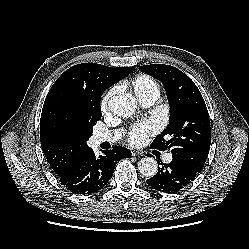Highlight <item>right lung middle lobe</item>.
I'll list each match as a JSON object with an SVG mask.
<instances>
[{
    "label": "right lung middle lobe",
    "instance_id": "dd1d6c3e",
    "mask_svg": "<svg viewBox=\"0 0 249 249\" xmlns=\"http://www.w3.org/2000/svg\"><path fill=\"white\" fill-rule=\"evenodd\" d=\"M132 70H114L120 80ZM102 92L92 95L81 93L66 84L55 87L43 112L53 123L54 129L74 138L80 149H87L86 141L92 135L93 126L102 117L100 98Z\"/></svg>",
    "mask_w": 249,
    "mask_h": 249
}]
</instances>
